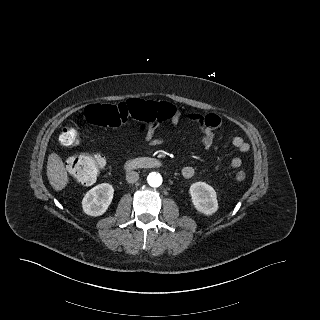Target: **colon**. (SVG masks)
Listing matches in <instances>:
<instances>
[{
	"label": "colon",
	"instance_id": "colon-1",
	"mask_svg": "<svg viewBox=\"0 0 320 320\" xmlns=\"http://www.w3.org/2000/svg\"><path fill=\"white\" fill-rule=\"evenodd\" d=\"M173 107L167 103H155L132 99L119 105L92 104L84 111V120L90 125L102 127H119L128 118L137 119L144 123H159L169 118ZM60 143L66 147L78 144L79 134L74 124L65 127L60 135ZM105 157L101 154H75L68 158L66 167L68 172L80 183L94 182L105 166ZM246 178L244 171L236 174L238 181Z\"/></svg>",
	"mask_w": 320,
	"mask_h": 320
}]
</instances>
